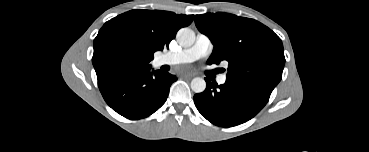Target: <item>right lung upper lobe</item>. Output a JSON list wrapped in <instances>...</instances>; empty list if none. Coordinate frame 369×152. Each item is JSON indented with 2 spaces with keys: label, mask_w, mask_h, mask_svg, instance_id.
Returning a JSON list of instances; mask_svg holds the SVG:
<instances>
[{
  "label": "right lung upper lobe",
  "mask_w": 369,
  "mask_h": 152,
  "mask_svg": "<svg viewBox=\"0 0 369 152\" xmlns=\"http://www.w3.org/2000/svg\"><path fill=\"white\" fill-rule=\"evenodd\" d=\"M193 19L194 15L134 9L107 21L94 39L92 62L98 83L111 78L102 74V64L121 52L135 56L140 68L151 67L154 52L168 48L177 31Z\"/></svg>",
  "instance_id": "right-lung-upper-lobe-1"
}]
</instances>
